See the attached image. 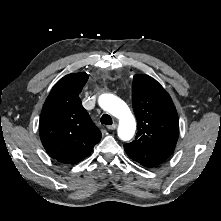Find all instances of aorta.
I'll return each instance as SVG.
<instances>
[{
	"label": "aorta",
	"mask_w": 221,
	"mask_h": 221,
	"mask_svg": "<svg viewBox=\"0 0 221 221\" xmlns=\"http://www.w3.org/2000/svg\"><path fill=\"white\" fill-rule=\"evenodd\" d=\"M98 102L103 110L119 120V138L123 141L130 140L136 130V121L127 104L112 94H102Z\"/></svg>",
	"instance_id": "762f6f07"
}]
</instances>
